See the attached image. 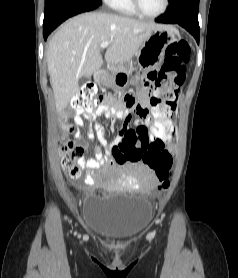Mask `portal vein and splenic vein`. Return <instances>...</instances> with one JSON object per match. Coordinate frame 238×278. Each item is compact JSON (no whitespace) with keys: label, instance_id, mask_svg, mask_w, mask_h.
I'll return each mask as SVG.
<instances>
[{"label":"portal vein and splenic vein","instance_id":"portal-vein-and-splenic-vein-1","mask_svg":"<svg viewBox=\"0 0 238 278\" xmlns=\"http://www.w3.org/2000/svg\"><path fill=\"white\" fill-rule=\"evenodd\" d=\"M110 41H105V42H102L101 44H100V48L101 49H104V48H107L109 45H110Z\"/></svg>","mask_w":238,"mask_h":278}]
</instances>
